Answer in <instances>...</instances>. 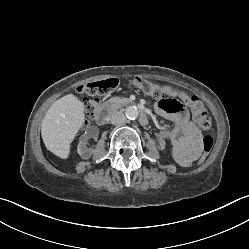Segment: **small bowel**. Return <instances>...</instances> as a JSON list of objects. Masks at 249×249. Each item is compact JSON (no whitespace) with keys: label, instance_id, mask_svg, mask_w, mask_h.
I'll list each match as a JSON object with an SVG mask.
<instances>
[{"label":"small bowel","instance_id":"1","mask_svg":"<svg viewBox=\"0 0 249 249\" xmlns=\"http://www.w3.org/2000/svg\"><path fill=\"white\" fill-rule=\"evenodd\" d=\"M164 89L169 100H159L155 110L175 125L172 129L162 128L158 138L170 143L175 159L181 166H188L198 157L202 145L201 131L189 115V109L193 111V100L198 98L171 86Z\"/></svg>","mask_w":249,"mask_h":249}]
</instances>
